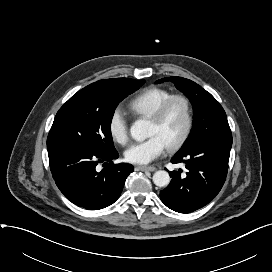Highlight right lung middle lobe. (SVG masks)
<instances>
[{
	"label": "right lung middle lobe",
	"mask_w": 272,
	"mask_h": 272,
	"mask_svg": "<svg viewBox=\"0 0 272 272\" xmlns=\"http://www.w3.org/2000/svg\"><path fill=\"white\" fill-rule=\"evenodd\" d=\"M145 81L100 80L74 94L57 112L47 138L48 156L68 150L108 153L114 144L111 121L120 101Z\"/></svg>",
	"instance_id": "obj_1"
}]
</instances>
